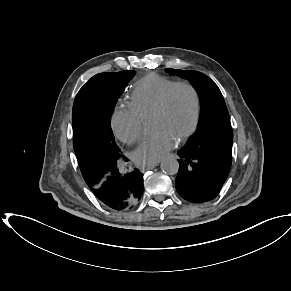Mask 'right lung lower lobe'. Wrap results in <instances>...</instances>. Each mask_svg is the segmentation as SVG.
Returning <instances> with one entry per match:
<instances>
[{
    "mask_svg": "<svg viewBox=\"0 0 291 291\" xmlns=\"http://www.w3.org/2000/svg\"><path fill=\"white\" fill-rule=\"evenodd\" d=\"M125 161H128L125 158ZM81 168V167H80ZM83 177L91 178L97 187L94 195L108 208L125 211L135 206L143 194V174L138 170L122 173L117 161L81 168Z\"/></svg>",
    "mask_w": 291,
    "mask_h": 291,
    "instance_id": "1",
    "label": "right lung lower lobe"
}]
</instances>
